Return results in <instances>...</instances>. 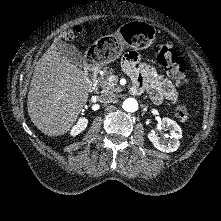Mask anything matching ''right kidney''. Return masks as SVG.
<instances>
[{
    "label": "right kidney",
    "mask_w": 221,
    "mask_h": 221,
    "mask_svg": "<svg viewBox=\"0 0 221 221\" xmlns=\"http://www.w3.org/2000/svg\"><path fill=\"white\" fill-rule=\"evenodd\" d=\"M87 124H88V120L86 118H80L77 124L74 125L73 128L71 129L70 134L72 136L78 135L80 132L85 130V128L87 127Z\"/></svg>",
    "instance_id": "obj_1"
}]
</instances>
